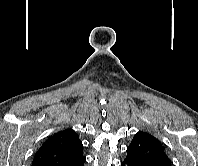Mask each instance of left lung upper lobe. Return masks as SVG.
Returning <instances> with one entry per match:
<instances>
[{
  "instance_id": "1",
  "label": "left lung upper lobe",
  "mask_w": 198,
  "mask_h": 166,
  "mask_svg": "<svg viewBox=\"0 0 198 166\" xmlns=\"http://www.w3.org/2000/svg\"><path fill=\"white\" fill-rule=\"evenodd\" d=\"M127 161L135 166H171L172 162L160 141L151 134L139 131L127 147Z\"/></svg>"
}]
</instances>
